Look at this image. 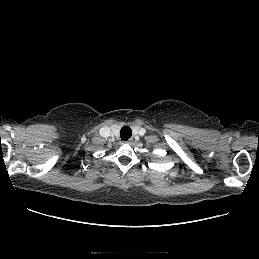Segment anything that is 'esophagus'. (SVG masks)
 I'll list each match as a JSON object with an SVG mask.
<instances>
[{
    "mask_svg": "<svg viewBox=\"0 0 259 259\" xmlns=\"http://www.w3.org/2000/svg\"><path fill=\"white\" fill-rule=\"evenodd\" d=\"M132 140H133V139L131 138V139L127 140L126 143H131Z\"/></svg>",
    "mask_w": 259,
    "mask_h": 259,
    "instance_id": "esophagus-1",
    "label": "esophagus"
}]
</instances>
